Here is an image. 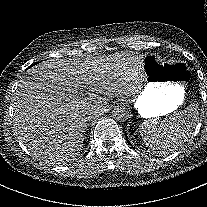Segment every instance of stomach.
I'll list each match as a JSON object with an SVG mask.
<instances>
[{
	"label": "stomach",
	"instance_id": "1",
	"mask_svg": "<svg viewBox=\"0 0 207 207\" xmlns=\"http://www.w3.org/2000/svg\"><path fill=\"white\" fill-rule=\"evenodd\" d=\"M147 83L135 102L142 118H155L176 110L184 100L190 72L184 62H162L155 55L141 60Z\"/></svg>",
	"mask_w": 207,
	"mask_h": 207
}]
</instances>
